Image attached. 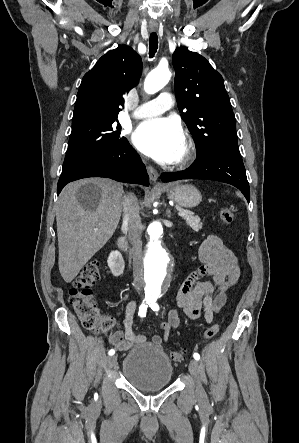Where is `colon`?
I'll return each mask as SVG.
<instances>
[{"instance_id": "colon-1", "label": "colon", "mask_w": 299, "mask_h": 443, "mask_svg": "<svg viewBox=\"0 0 299 443\" xmlns=\"http://www.w3.org/2000/svg\"><path fill=\"white\" fill-rule=\"evenodd\" d=\"M220 218L224 224H232L233 211L229 208L222 209ZM101 275L100 262L95 259L88 261L69 291V301L84 328L106 333L112 328L113 320L98 310L92 292L93 285L101 279ZM218 331L219 324H213L205 331L204 336L211 339ZM185 352V349L175 350L171 352V358L174 361H182Z\"/></svg>"}]
</instances>
